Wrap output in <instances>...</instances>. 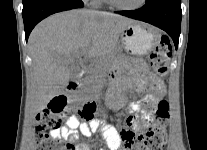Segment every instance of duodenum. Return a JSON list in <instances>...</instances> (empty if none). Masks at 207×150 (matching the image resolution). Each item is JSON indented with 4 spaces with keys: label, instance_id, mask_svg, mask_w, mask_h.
I'll return each instance as SVG.
<instances>
[{
    "label": "duodenum",
    "instance_id": "410a0bca",
    "mask_svg": "<svg viewBox=\"0 0 207 150\" xmlns=\"http://www.w3.org/2000/svg\"><path fill=\"white\" fill-rule=\"evenodd\" d=\"M79 86H80V80L79 79L71 81L68 84V90H70V91L76 90ZM90 106H92V105L91 104L87 105V107H90Z\"/></svg>",
    "mask_w": 207,
    "mask_h": 150
}]
</instances>
